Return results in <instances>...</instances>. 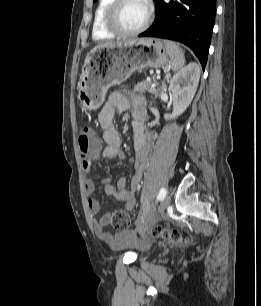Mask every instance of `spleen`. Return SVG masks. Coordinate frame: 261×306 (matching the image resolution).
<instances>
[{"label":"spleen","mask_w":261,"mask_h":306,"mask_svg":"<svg viewBox=\"0 0 261 306\" xmlns=\"http://www.w3.org/2000/svg\"><path fill=\"white\" fill-rule=\"evenodd\" d=\"M165 47L170 57L171 68L173 71H179L185 65V56L182 49L174 42L165 40Z\"/></svg>","instance_id":"3e777b00"}]
</instances>
